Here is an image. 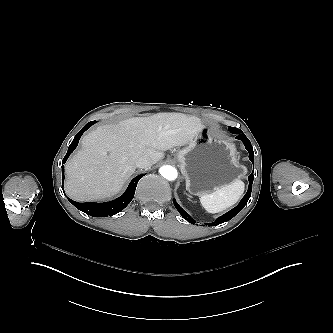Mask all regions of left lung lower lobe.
<instances>
[{
	"instance_id": "0a47b994",
	"label": "left lung lower lobe",
	"mask_w": 333,
	"mask_h": 333,
	"mask_svg": "<svg viewBox=\"0 0 333 333\" xmlns=\"http://www.w3.org/2000/svg\"><path fill=\"white\" fill-rule=\"evenodd\" d=\"M229 131H231V133H233V134H237L236 139H239L243 142V144L245 145V148L249 152V159L253 162L254 152H253V148H252V145H251L249 139L238 128L229 127ZM253 178H254V176H253V173H252L248 177V180H249L248 191L245 194V196L242 198L240 203L235 208H233L232 210L228 211L224 215L217 218L215 222L207 223L208 226H216V225H219V224L224 223L226 221H229L230 219H232L236 214H238L244 208V206L247 204V202H248V200L251 196ZM173 203H174L175 208L181 214V216L184 219H186L189 223L194 224V220L178 205V203L175 201V199H173Z\"/></svg>"
}]
</instances>
